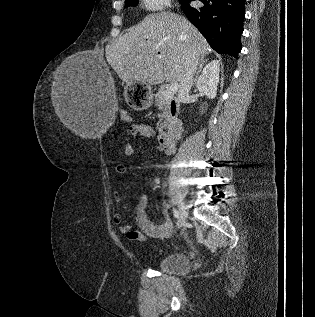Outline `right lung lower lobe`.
<instances>
[{
	"label": "right lung lower lobe",
	"mask_w": 315,
	"mask_h": 317,
	"mask_svg": "<svg viewBox=\"0 0 315 317\" xmlns=\"http://www.w3.org/2000/svg\"><path fill=\"white\" fill-rule=\"evenodd\" d=\"M192 0H180L182 9L190 22L207 39L218 53L229 54L238 59L241 51V34L245 16V0H199L204 5L193 8Z\"/></svg>",
	"instance_id": "98d812e1"
}]
</instances>
